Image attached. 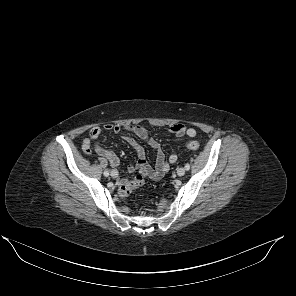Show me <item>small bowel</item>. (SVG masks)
Returning a JSON list of instances; mask_svg holds the SVG:
<instances>
[{"label": "small bowel", "mask_w": 296, "mask_h": 296, "mask_svg": "<svg viewBox=\"0 0 296 296\" xmlns=\"http://www.w3.org/2000/svg\"><path fill=\"white\" fill-rule=\"evenodd\" d=\"M103 131H110L115 134H122L123 139L128 142L136 151L138 161L130 164L127 168L129 172L139 171L143 177H148L153 180H158L169 170L170 165L174 164L177 159V153L173 151L168 159H166L161 144L151 135L150 131L141 125H119V124H106L103 127L97 126L89 131L88 137L82 142V150L86 154H90L92 150L99 156L104 157L113 167H118L120 160L112 150L106 149L101 146L97 140ZM170 133L175 137H194L196 130L193 127H185L183 124L176 123L169 127ZM145 141L156 154L155 167H151L146 160V151L144 148L133 138V136ZM128 182L126 179H119L118 184Z\"/></svg>", "instance_id": "1"}]
</instances>
